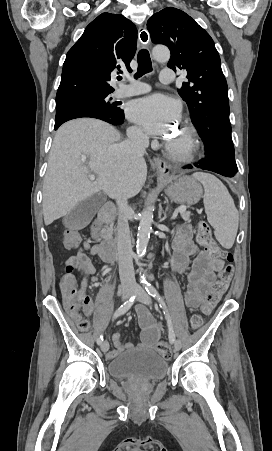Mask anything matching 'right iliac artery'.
I'll list each match as a JSON object with an SVG mask.
<instances>
[{
	"label": "right iliac artery",
	"instance_id": "1",
	"mask_svg": "<svg viewBox=\"0 0 272 451\" xmlns=\"http://www.w3.org/2000/svg\"><path fill=\"white\" fill-rule=\"evenodd\" d=\"M136 299V295H133L130 299H128L126 302H124L114 313L113 315V319H116L117 317H119L120 315H123L124 313H126L131 306L134 304ZM103 341V335H101L98 339H97V344L100 345Z\"/></svg>",
	"mask_w": 272,
	"mask_h": 451
}]
</instances>
